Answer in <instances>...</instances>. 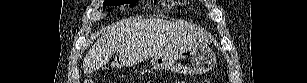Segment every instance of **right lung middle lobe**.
<instances>
[{
    "instance_id": "obj_1",
    "label": "right lung middle lobe",
    "mask_w": 307,
    "mask_h": 83,
    "mask_svg": "<svg viewBox=\"0 0 307 83\" xmlns=\"http://www.w3.org/2000/svg\"><path fill=\"white\" fill-rule=\"evenodd\" d=\"M136 0L134 1H127V0H108L104 2V6H114V5H121L124 3H129L130 7H133L135 5Z\"/></svg>"
}]
</instances>
